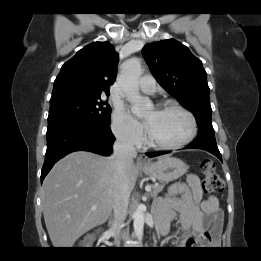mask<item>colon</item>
<instances>
[{
	"instance_id": "obj_1",
	"label": "colon",
	"mask_w": 261,
	"mask_h": 261,
	"mask_svg": "<svg viewBox=\"0 0 261 261\" xmlns=\"http://www.w3.org/2000/svg\"><path fill=\"white\" fill-rule=\"evenodd\" d=\"M203 181L202 190L206 194L219 193L224 190V182L215 170V166L210 159H205L202 162ZM209 240L207 235L199 236L190 241L191 245H205Z\"/></svg>"
}]
</instances>
